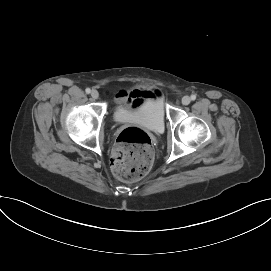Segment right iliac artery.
Listing matches in <instances>:
<instances>
[{"label": "right iliac artery", "instance_id": "obj_1", "mask_svg": "<svg viewBox=\"0 0 271 271\" xmlns=\"http://www.w3.org/2000/svg\"><path fill=\"white\" fill-rule=\"evenodd\" d=\"M85 91H86L87 94L91 93V89L90 88H87Z\"/></svg>", "mask_w": 271, "mask_h": 271}]
</instances>
